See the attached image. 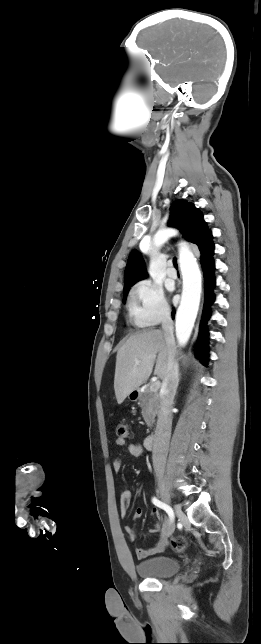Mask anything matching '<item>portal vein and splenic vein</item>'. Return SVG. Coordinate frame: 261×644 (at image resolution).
Wrapping results in <instances>:
<instances>
[{
	"instance_id": "1",
	"label": "portal vein and splenic vein",
	"mask_w": 261,
	"mask_h": 644,
	"mask_svg": "<svg viewBox=\"0 0 261 644\" xmlns=\"http://www.w3.org/2000/svg\"><path fill=\"white\" fill-rule=\"evenodd\" d=\"M139 363H140V361H139V360H136V361H135V364H137V365H138ZM160 385H161L160 381H155V382H153V383L150 385V391H152V392H156V391L160 388Z\"/></svg>"
}]
</instances>
